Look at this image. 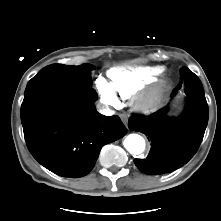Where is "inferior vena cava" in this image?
<instances>
[{"label": "inferior vena cava", "mask_w": 221, "mask_h": 221, "mask_svg": "<svg viewBox=\"0 0 221 221\" xmlns=\"http://www.w3.org/2000/svg\"><path fill=\"white\" fill-rule=\"evenodd\" d=\"M99 112L103 115L109 116L112 115L113 112L108 108V106H98Z\"/></svg>", "instance_id": "602c4592"}]
</instances>
